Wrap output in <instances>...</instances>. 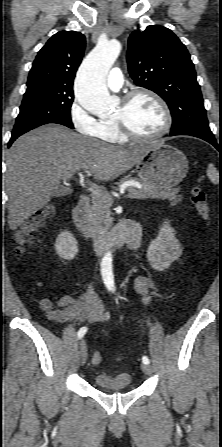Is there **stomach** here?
<instances>
[{
  "label": "stomach",
  "instance_id": "1",
  "mask_svg": "<svg viewBox=\"0 0 222 447\" xmlns=\"http://www.w3.org/2000/svg\"><path fill=\"white\" fill-rule=\"evenodd\" d=\"M142 181L169 189L178 185L188 172V160L177 148L163 142L151 145L136 163Z\"/></svg>",
  "mask_w": 222,
  "mask_h": 447
}]
</instances>
